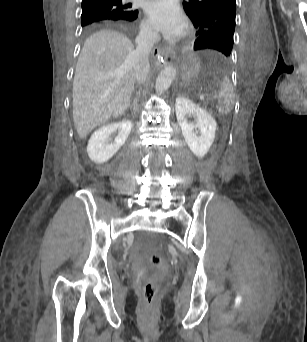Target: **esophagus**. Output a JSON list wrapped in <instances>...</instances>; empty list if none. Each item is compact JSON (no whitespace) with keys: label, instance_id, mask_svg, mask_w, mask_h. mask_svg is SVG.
Masks as SVG:
<instances>
[{"label":"esophagus","instance_id":"1","mask_svg":"<svg viewBox=\"0 0 307 342\" xmlns=\"http://www.w3.org/2000/svg\"><path fill=\"white\" fill-rule=\"evenodd\" d=\"M154 51H157L158 53H160V55L163 57V63L164 64H168V63H171L172 60H174L176 54L173 50H165V49H157V50H154Z\"/></svg>","mask_w":307,"mask_h":342}]
</instances>
